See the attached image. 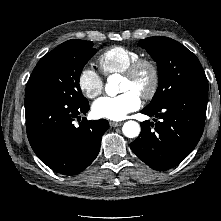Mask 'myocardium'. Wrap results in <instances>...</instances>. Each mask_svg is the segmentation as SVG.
Returning a JSON list of instances; mask_svg holds the SVG:
<instances>
[{"instance_id": "f54148a6", "label": "myocardium", "mask_w": 221, "mask_h": 221, "mask_svg": "<svg viewBox=\"0 0 221 221\" xmlns=\"http://www.w3.org/2000/svg\"><path fill=\"white\" fill-rule=\"evenodd\" d=\"M145 70L150 73V83L139 95L145 100H150L156 95L160 85V70L155 61L140 57L130 64L122 76L128 80L136 81Z\"/></svg>"}]
</instances>
